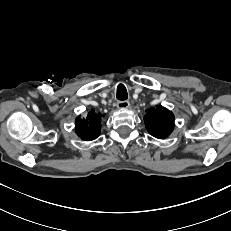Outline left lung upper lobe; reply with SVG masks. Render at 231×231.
Returning <instances> with one entry per match:
<instances>
[{
	"instance_id": "5c2ea615",
	"label": "left lung upper lobe",
	"mask_w": 231,
	"mask_h": 231,
	"mask_svg": "<svg viewBox=\"0 0 231 231\" xmlns=\"http://www.w3.org/2000/svg\"><path fill=\"white\" fill-rule=\"evenodd\" d=\"M146 112L144 122L148 132L156 138L168 137L174 128L173 113L162 106L150 108Z\"/></svg>"
}]
</instances>
